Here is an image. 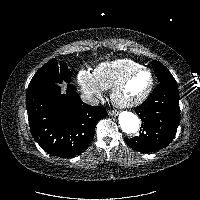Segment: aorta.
<instances>
[{
  "instance_id": "1",
  "label": "aorta",
  "mask_w": 200,
  "mask_h": 200,
  "mask_svg": "<svg viewBox=\"0 0 200 200\" xmlns=\"http://www.w3.org/2000/svg\"><path fill=\"white\" fill-rule=\"evenodd\" d=\"M119 124L124 133H137L140 126V119L132 112L123 111L119 114Z\"/></svg>"
}]
</instances>
